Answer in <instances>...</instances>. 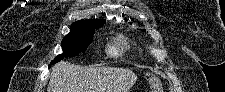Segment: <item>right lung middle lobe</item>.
Listing matches in <instances>:
<instances>
[{
  "label": "right lung middle lobe",
  "instance_id": "obj_1",
  "mask_svg": "<svg viewBox=\"0 0 225 92\" xmlns=\"http://www.w3.org/2000/svg\"><path fill=\"white\" fill-rule=\"evenodd\" d=\"M104 23L105 21H100L76 30H70V33L63 38L61 43L63 53L52 60L49 66L61 61L64 57H74L81 52H85L93 39L95 29H98Z\"/></svg>",
  "mask_w": 225,
  "mask_h": 92
}]
</instances>
